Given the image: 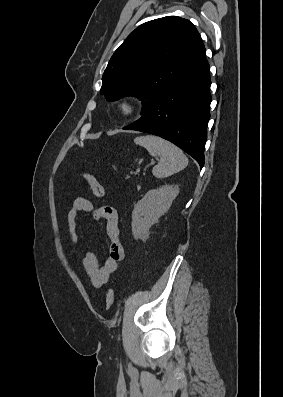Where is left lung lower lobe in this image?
Returning <instances> with one entry per match:
<instances>
[{"label": "left lung lower lobe", "mask_w": 283, "mask_h": 397, "mask_svg": "<svg viewBox=\"0 0 283 397\" xmlns=\"http://www.w3.org/2000/svg\"><path fill=\"white\" fill-rule=\"evenodd\" d=\"M208 61L161 95L142 117L123 129L160 136L191 155L202 168L210 119Z\"/></svg>", "instance_id": "obj_1"}]
</instances>
